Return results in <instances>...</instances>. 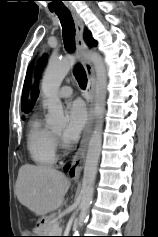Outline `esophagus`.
<instances>
[{
    "label": "esophagus",
    "mask_w": 158,
    "mask_h": 237,
    "mask_svg": "<svg viewBox=\"0 0 158 237\" xmlns=\"http://www.w3.org/2000/svg\"><path fill=\"white\" fill-rule=\"evenodd\" d=\"M69 10L72 14V17L75 23L76 47H77L78 52L80 53V60L85 69L87 79H88L87 89L85 93V100H86V105L88 109V121L84 129L79 148L77 149L75 155L73 156L70 163V168L68 170L69 178L71 180L77 181L80 177V174L83 168L86 152L88 149V143L91 136L94 118H95V108H94L95 72L90 60L86 56L88 48L84 39L83 20L81 19V17L79 16V14L77 13L74 7H70Z\"/></svg>",
    "instance_id": "34e87169"
}]
</instances>
